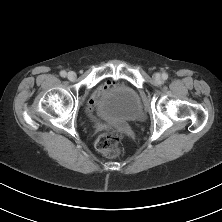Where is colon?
I'll return each instance as SVG.
<instances>
[{
	"label": "colon",
	"mask_w": 222,
	"mask_h": 222,
	"mask_svg": "<svg viewBox=\"0 0 222 222\" xmlns=\"http://www.w3.org/2000/svg\"><path fill=\"white\" fill-rule=\"evenodd\" d=\"M122 138L123 133L121 131H108L98 138L96 148L107 157H116L120 153V142Z\"/></svg>",
	"instance_id": "5ec220e1"
}]
</instances>
